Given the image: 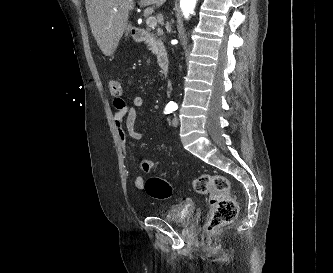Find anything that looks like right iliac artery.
Instances as JSON below:
<instances>
[{"instance_id":"obj_1","label":"right iliac artery","mask_w":333,"mask_h":273,"mask_svg":"<svg viewBox=\"0 0 333 273\" xmlns=\"http://www.w3.org/2000/svg\"><path fill=\"white\" fill-rule=\"evenodd\" d=\"M174 110H175L174 107L167 105L164 109V113L169 114L172 113Z\"/></svg>"}]
</instances>
